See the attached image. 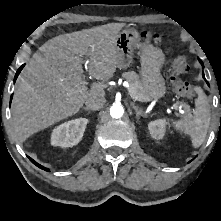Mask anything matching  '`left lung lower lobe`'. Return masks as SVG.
Segmentation results:
<instances>
[{
    "label": "left lung lower lobe",
    "mask_w": 221,
    "mask_h": 221,
    "mask_svg": "<svg viewBox=\"0 0 221 221\" xmlns=\"http://www.w3.org/2000/svg\"><path fill=\"white\" fill-rule=\"evenodd\" d=\"M199 61H200V63H202V61L199 59ZM203 78L205 79V77H204V73H203ZM207 82V81H206ZM208 83V82H207Z\"/></svg>",
    "instance_id": "1"
}]
</instances>
